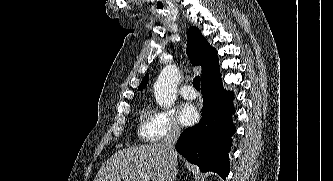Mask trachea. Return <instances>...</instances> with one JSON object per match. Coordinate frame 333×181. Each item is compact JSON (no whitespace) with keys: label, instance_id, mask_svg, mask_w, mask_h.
Segmentation results:
<instances>
[{"label":"trachea","instance_id":"trachea-1","mask_svg":"<svg viewBox=\"0 0 333 181\" xmlns=\"http://www.w3.org/2000/svg\"><path fill=\"white\" fill-rule=\"evenodd\" d=\"M193 86L197 89L200 90V77L196 76L193 80Z\"/></svg>","mask_w":333,"mask_h":181}]
</instances>
